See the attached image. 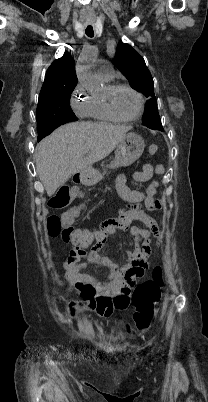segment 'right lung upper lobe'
I'll return each mask as SVG.
<instances>
[{
	"instance_id": "right-lung-upper-lobe-1",
	"label": "right lung upper lobe",
	"mask_w": 208,
	"mask_h": 402,
	"mask_svg": "<svg viewBox=\"0 0 208 402\" xmlns=\"http://www.w3.org/2000/svg\"><path fill=\"white\" fill-rule=\"evenodd\" d=\"M76 84L77 76L74 59L70 53L65 52L61 58L53 61L48 68L39 97L49 91L76 86Z\"/></svg>"
}]
</instances>
